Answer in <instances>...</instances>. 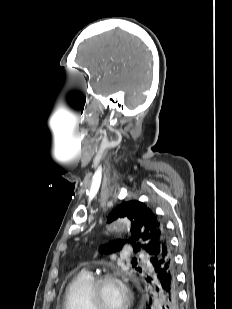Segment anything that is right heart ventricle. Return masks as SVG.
I'll return each instance as SVG.
<instances>
[{"mask_svg": "<svg viewBox=\"0 0 232 309\" xmlns=\"http://www.w3.org/2000/svg\"><path fill=\"white\" fill-rule=\"evenodd\" d=\"M93 280L88 272L78 273L66 288L63 309H91L89 290Z\"/></svg>", "mask_w": 232, "mask_h": 309, "instance_id": "right-heart-ventricle-1", "label": "right heart ventricle"}]
</instances>
